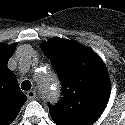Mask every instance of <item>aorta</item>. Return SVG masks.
I'll return each instance as SVG.
<instances>
[{"label": "aorta", "instance_id": "aorta-1", "mask_svg": "<svg viewBox=\"0 0 125 125\" xmlns=\"http://www.w3.org/2000/svg\"><path fill=\"white\" fill-rule=\"evenodd\" d=\"M37 77L42 98L50 103H56L60 97L61 86L54 71L47 67L45 71H40Z\"/></svg>", "mask_w": 125, "mask_h": 125}]
</instances>
